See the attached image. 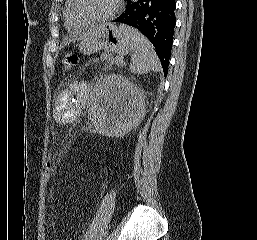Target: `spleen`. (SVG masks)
Returning a JSON list of instances; mask_svg holds the SVG:
<instances>
[{"mask_svg":"<svg viewBox=\"0 0 257 240\" xmlns=\"http://www.w3.org/2000/svg\"><path fill=\"white\" fill-rule=\"evenodd\" d=\"M121 28L127 32L129 50L132 52L130 71L135 74L159 72L161 65L149 40L134 28L125 25H121Z\"/></svg>","mask_w":257,"mask_h":240,"instance_id":"3e777b00","label":"spleen"}]
</instances>
